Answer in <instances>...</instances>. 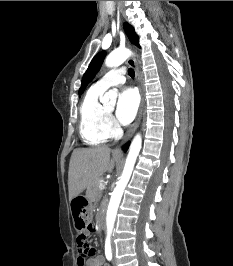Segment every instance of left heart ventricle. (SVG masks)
<instances>
[{
  "label": "left heart ventricle",
  "mask_w": 233,
  "mask_h": 266,
  "mask_svg": "<svg viewBox=\"0 0 233 266\" xmlns=\"http://www.w3.org/2000/svg\"><path fill=\"white\" fill-rule=\"evenodd\" d=\"M113 109V107H109L108 110L111 111Z\"/></svg>",
  "instance_id": "left-heart-ventricle-1"
}]
</instances>
